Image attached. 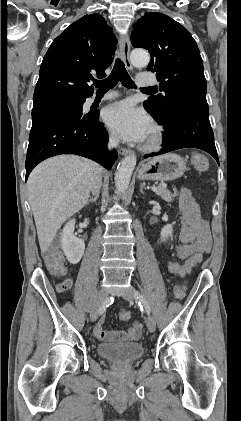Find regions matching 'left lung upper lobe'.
<instances>
[{"label": "left lung upper lobe", "instance_id": "5c2ea615", "mask_svg": "<svg viewBox=\"0 0 241 421\" xmlns=\"http://www.w3.org/2000/svg\"><path fill=\"white\" fill-rule=\"evenodd\" d=\"M131 43L151 55L148 71L157 72L163 94L150 96L145 109L164 125L192 100L206 101L207 84L195 40L181 24L162 13H146L133 25Z\"/></svg>", "mask_w": 241, "mask_h": 421}]
</instances>
